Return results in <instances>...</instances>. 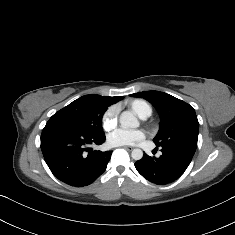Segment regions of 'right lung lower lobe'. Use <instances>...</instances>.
I'll return each mask as SVG.
<instances>
[{
    "label": "right lung lower lobe",
    "mask_w": 235,
    "mask_h": 235,
    "mask_svg": "<svg viewBox=\"0 0 235 235\" xmlns=\"http://www.w3.org/2000/svg\"><path fill=\"white\" fill-rule=\"evenodd\" d=\"M104 136H95L61 122L48 121L41 135V150L53 175L76 187L93 183L105 170L111 151H93Z\"/></svg>",
    "instance_id": "1"
}]
</instances>
